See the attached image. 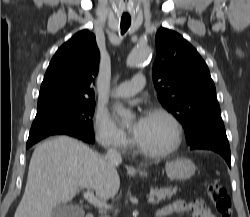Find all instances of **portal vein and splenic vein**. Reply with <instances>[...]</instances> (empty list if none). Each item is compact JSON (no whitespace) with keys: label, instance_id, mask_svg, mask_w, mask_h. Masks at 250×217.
Segmentation results:
<instances>
[{"label":"portal vein and splenic vein","instance_id":"18ae733b","mask_svg":"<svg viewBox=\"0 0 250 217\" xmlns=\"http://www.w3.org/2000/svg\"><path fill=\"white\" fill-rule=\"evenodd\" d=\"M84 198L92 205L98 207V208H112L110 205H107L106 203L100 201L97 199L94 195V193L90 190H87L84 192ZM155 201L154 196H150L148 198V203H153Z\"/></svg>","mask_w":250,"mask_h":217}]
</instances>
